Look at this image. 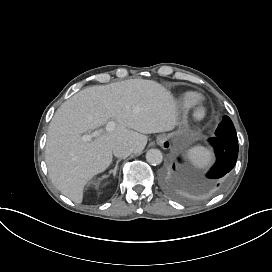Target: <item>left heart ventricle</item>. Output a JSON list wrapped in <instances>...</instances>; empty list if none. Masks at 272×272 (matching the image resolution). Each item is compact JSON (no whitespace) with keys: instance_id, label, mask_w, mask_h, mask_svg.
Segmentation results:
<instances>
[{"instance_id":"obj_1","label":"left heart ventricle","mask_w":272,"mask_h":272,"mask_svg":"<svg viewBox=\"0 0 272 272\" xmlns=\"http://www.w3.org/2000/svg\"><path fill=\"white\" fill-rule=\"evenodd\" d=\"M197 114L201 115L202 114V110H198Z\"/></svg>"}]
</instances>
